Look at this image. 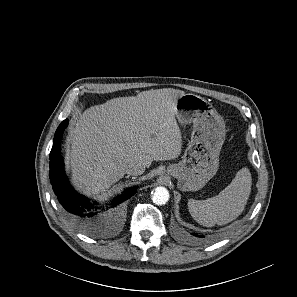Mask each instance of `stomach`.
Returning <instances> with one entry per match:
<instances>
[{
  "mask_svg": "<svg viewBox=\"0 0 297 297\" xmlns=\"http://www.w3.org/2000/svg\"><path fill=\"white\" fill-rule=\"evenodd\" d=\"M179 123L192 124L191 139L182 160L167 167V174L178 180L182 191H197L215 176L219 154L226 136L225 123L216 109L204 98L184 94L176 101Z\"/></svg>",
  "mask_w": 297,
  "mask_h": 297,
  "instance_id": "0dacf381",
  "label": "stomach"
}]
</instances>
